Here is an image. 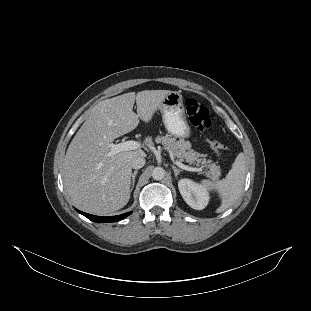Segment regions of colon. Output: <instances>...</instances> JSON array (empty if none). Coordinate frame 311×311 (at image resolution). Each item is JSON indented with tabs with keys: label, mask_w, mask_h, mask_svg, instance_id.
<instances>
[{
	"label": "colon",
	"mask_w": 311,
	"mask_h": 311,
	"mask_svg": "<svg viewBox=\"0 0 311 311\" xmlns=\"http://www.w3.org/2000/svg\"><path fill=\"white\" fill-rule=\"evenodd\" d=\"M185 109L189 120L196 126L200 131L207 132L212 126V121L209 116L207 107L194 98H188L185 100ZM208 143L211 149L218 155L221 156L225 151V146L215 138L209 136Z\"/></svg>",
	"instance_id": "5ec220e1"
}]
</instances>
